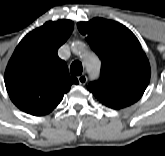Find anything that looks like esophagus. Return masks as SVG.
<instances>
[{"label": "esophagus", "mask_w": 165, "mask_h": 156, "mask_svg": "<svg viewBox=\"0 0 165 156\" xmlns=\"http://www.w3.org/2000/svg\"><path fill=\"white\" fill-rule=\"evenodd\" d=\"M87 76L86 75H80L78 76V81L81 85H85L87 83Z\"/></svg>", "instance_id": "1"}]
</instances>
